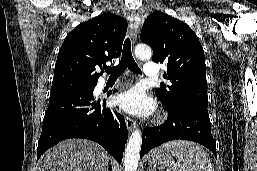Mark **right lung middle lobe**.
Masks as SVG:
<instances>
[{
    "instance_id": "1",
    "label": "right lung middle lobe",
    "mask_w": 257,
    "mask_h": 171,
    "mask_svg": "<svg viewBox=\"0 0 257 171\" xmlns=\"http://www.w3.org/2000/svg\"><path fill=\"white\" fill-rule=\"evenodd\" d=\"M96 85V83H89V84H82V85H77V86H71V87H66V88H59L58 86L53 87L51 91H56V90H63V89H69V88H77V87H87V88H92Z\"/></svg>"
}]
</instances>
